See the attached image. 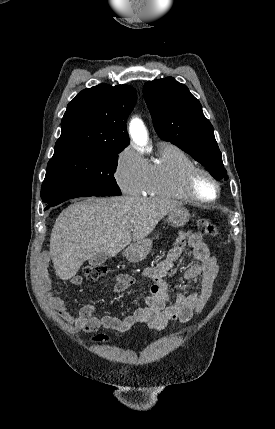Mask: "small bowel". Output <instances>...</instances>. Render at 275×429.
<instances>
[{
	"instance_id": "obj_1",
	"label": "small bowel",
	"mask_w": 275,
	"mask_h": 429,
	"mask_svg": "<svg viewBox=\"0 0 275 429\" xmlns=\"http://www.w3.org/2000/svg\"><path fill=\"white\" fill-rule=\"evenodd\" d=\"M197 260L183 274L185 280L199 278L198 290L178 292L175 302L164 280L167 272L179 261L187 251ZM150 281V295L144 299V305L137 308L131 315L125 317L103 316L96 317L95 306L91 303L83 305L77 316L70 312L68 304L60 297L57 290L45 285L43 288L49 306L70 326L76 330L92 333L101 328L117 332H126L138 324L145 323L153 330H163L170 321L185 323L193 315L200 313L216 290V283L221 276V270L216 258L211 255L209 248L203 242L202 236L195 232H182L176 239L167 257L155 267L144 271ZM83 282L80 275L70 278V283L79 286ZM133 278L128 274L116 277L114 291L121 293L133 284Z\"/></svg>"
}]
</instances>
